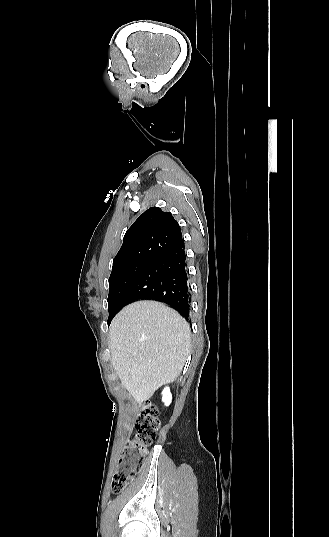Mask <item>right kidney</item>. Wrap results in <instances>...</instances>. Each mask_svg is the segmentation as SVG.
I'll use <instances>...</instances> for the list:
<instances>
[{
  "instance_id": "ca27d5eb",
  "label": "right kidney",
  "mask_w": 329,
  "mask_h": 537,
  "mask_svg": "<svg viewBox=\"0 0 329 537\" xmlns=\"http://www.w3.org/2000/svg\"><path fill=\"white\" fill-rule=\"evenodd\" d=\"M162 401L166 406H169L172 401V395L169 387H165L162 391Z\"/></svg>"
}]
</instances>
